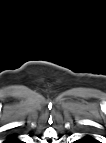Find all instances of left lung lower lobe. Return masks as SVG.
Segmentation results:
<instances>
[{
	"label": "left lung lower lobe",
	"instance_id": "obj_1",
	"mask_svg": "<svg viewBox=\"0 0 106 143\" xmlns=\"http://www.w3.org/2000/svg\"><path fill=\"white\" fill-rule=\"evenodd\" d=\"M79 141L85 142V143H91V140L88 137H84V138L80 139Z\"/></svg>",
	"mask_w": 106,
	"mask_h": 143
}]
</instances>
